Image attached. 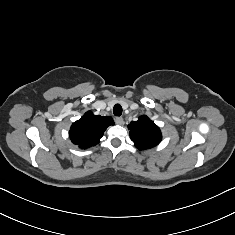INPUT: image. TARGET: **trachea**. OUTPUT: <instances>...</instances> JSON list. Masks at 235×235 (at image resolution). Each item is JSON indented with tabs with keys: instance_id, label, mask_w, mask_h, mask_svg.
<instances>
[{
	"instance_id": "3493384b",
	"label": "trachea",
	"mask_w": 235,
	"mask_h": 235,
	"mask_svg": "<svg viewBox=\"0 0 235 235\" xmlns=\"http://www.w3.org/2000/svg\"><path fill=\"white\" fill-rule=\"evenodd\" d=\"M113 113L115 116H121L122 114V107L120 104H116L113 108Z\"/></svg>"
}]
</instances>
